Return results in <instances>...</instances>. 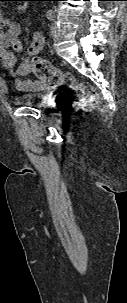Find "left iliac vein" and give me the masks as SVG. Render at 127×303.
<instances>
[{"label": "left iliac vein", "mask_w": 127, "mask_h": 303, "mask_svg": "<svg viewBox=\"0 0 127 303\" xmlns=\"http://www.w3.org/2000/svg\"><path fill=\"white\" fill-rule=\"evenodd\" d=\"M56 34H57V24H56V22L54 21V22L51 24V26H50V35H51L52 37H54V36H56Z\"/></svg>", "instance_id": "1"}]
</instances>
